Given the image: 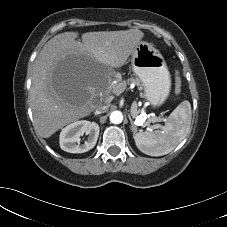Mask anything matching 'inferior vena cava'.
<instances>
[{
    "label": "inferior vena cava",
    "mask_w": 227,
    "mask_h": 227,
    "mask_svg": "<svg viewBox=\"0 0 227 227\" xmlns=\"http://www.w3.org/2000/svg\"><path fill=\"white\" fill-rule=\"evenodd\" d=\"M108 104H107V101L102 103V104H98V105H95L94 106V109H95V114H101V113H104L107 111L108 109Z\"/></svg>",
    "instance_id": "obj_1"
}]
</instances>
